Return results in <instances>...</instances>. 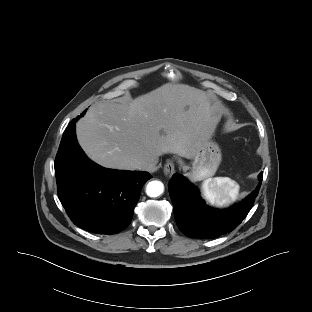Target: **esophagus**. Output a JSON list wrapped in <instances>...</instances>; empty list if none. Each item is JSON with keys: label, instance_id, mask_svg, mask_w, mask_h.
Returning <instances> with one entry per match:
<instances>
[{"label": "esophagus", "instance_id": "esophagus-1", "mask_svg": "<svg viewBox=\"0 0 312 312\" xmlns=\"http://www.w3.org/2000/svg\"><path fill=\"white\" fill-rule=\"evenodd\" d=\"M175 172V165L172 160H168L164 165V174L167 178H170Z\"/></svg>", "mask_w": 312, "mask_h": 312}]
</instances>
